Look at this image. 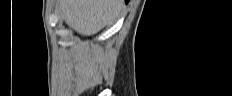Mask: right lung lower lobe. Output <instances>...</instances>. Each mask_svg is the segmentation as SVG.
Masks as SVG:
<instances>
[{"label": "right lung lower lobe", "instance_id": "right-lung-lower-lobe-1", "mask_svg": "<svg viewBox=\"0 0 232 96\" xmlns=\"http://www.w3.org/2000/svg\"><path fill=\"white\" fill-rule=\"evenodd\" d=\"M125 2H126V3H128V2H129V0H125Z\"/></svg>", "mask_w": 232, "mask_h": 96}]
</instances>
